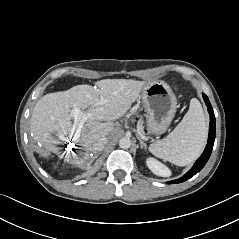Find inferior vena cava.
<instances>
[{"label":"inferior vena cava","mask_w":239,"mask_h":239,"mask_svg":"<svg viewBox=\"0 0 239 239\" xmlns=\"http://www.w3.org/2000/svg\"><path fill=\"white\" fill-rule=\"evenodd\" d=\"M107 142L108 140L106 137L100 138L95 144V150L101 151L104 148V146L107 144Z\"/></svg>","instance_id":"obj_1"}]
</instances>
